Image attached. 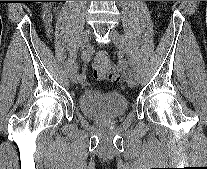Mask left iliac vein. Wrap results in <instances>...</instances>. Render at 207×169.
Returning <instances> with one entry per match:
<instances>
[{"label": "left iliac vein", "instance_id": "1", "mask_svg": "<svg viewBox=\"0 0 207 169\" xmlns=\"http://www.w3.org/2000/svg\"><path fill=\"white\" fill-rule=\"evenodd\" d=\"M110 37L115 44V46L119 49V51L125 55L128 56V49L127 44L125 42L124 37L115 29H112L110 32ZM132 62V61H131ZM126 81L130 87H135L138 85V76L130 74L127 76Z\"/></svg>", "mask_w": 207, "mask_h": 169}]
</instances>
